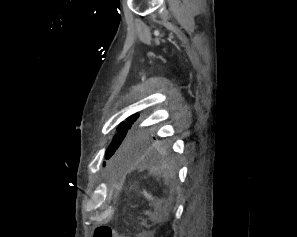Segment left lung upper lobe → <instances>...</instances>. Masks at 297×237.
<instances>
[{"instance_id": "5c2ea615", "label": "left lung upper lobe", "mask_w": 297, "mask_h": 237, "mask_svg": "<svg viewBox=\"0 0 297 237\" xmlns=\"http://www.w3.org/2000/svg\"><path fill=\"white\" fill-rule=\"evenodd\" d=\"M138 117L139 114H134L130 116L126 122L120 124L116 137L106 150V159L111 158L113 155L127 159L135 158L149 151L152 143L144 134H132L127 132L128 129L132 128V124Z\"/></svg>"}]
</instances>
